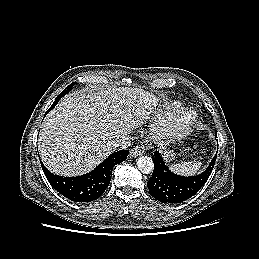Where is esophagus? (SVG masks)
<instances>
[{"mask_svg":"<svg viewBox=\"0 0 259 259\" xmlns=\"http://www.w3.org/2000/svg\"><path fill=\"white\" fill-rule=\"evenodd\" d=\"M145 153V149L142 146H136L130 151V157H137Z\"/></svg>","mask_w":259,"mask_h":259,"instance_id":"1","label":"esophagus"}]
</instances>
